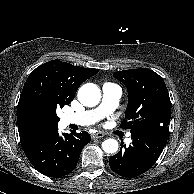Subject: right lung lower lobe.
<instances>
[{"mask_svg": "<svg viewBox=\"0 0 194 194\" xmlns=\"http://www.w3.org/2000/svg\"><path fill=\"white\" fill-rule=\"evenodd\" d=\"M90 135L72 132L58 133V128L37 134L22 143L30 163L49 177L68 175L76 167L82 148L90 142Z\"/></svg>", "mask_w": 194, "mask_h": 194, "instance_id": "right-lung-lower-lobe-1", "label": "right lung lower lobe"}]
</instances>
